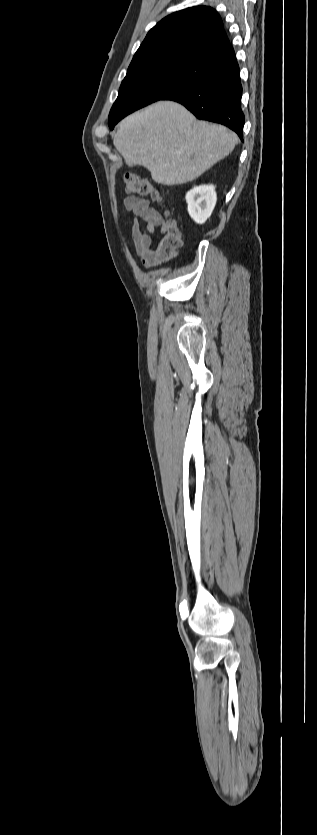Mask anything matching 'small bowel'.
Masks as SVG:
<instances>
[{
  "mask_svg": "<svg viewBox=\"0 0 317 835\" xmlns=\"http://www.w3.org/2000/svg\"><path fill=\"white\" fill-rule=\"evenodd\" d=\"M124 207L135 216L130 227V237L143 265L150 268L165 263L167 258L152 247V235L156 230L159 229L160 233L165 231L166 221L162 214L150 205L148 199L139 196L125 198Z\"/></svg>",
  "mask_w": 317,
  "mask_h": 835,
  "instance_id": "1",
  "label": "small bowel"
}]
</instances>
